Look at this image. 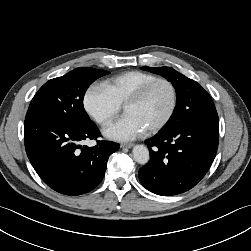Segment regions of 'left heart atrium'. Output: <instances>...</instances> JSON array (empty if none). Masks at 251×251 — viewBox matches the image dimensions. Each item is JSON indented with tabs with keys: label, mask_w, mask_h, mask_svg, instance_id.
<instances>
[{
	"label": "left heart atrium",
	"mask_w": 251,
	"mask_h": 251,
	"mask_svg": "<svg viewBox=\"0 0 251 251\" xmlns=\"http://www.w3.org/2000/svg\"><path fill=\"white\" fill-rule=\"evenodd\" d=\"M144 126L132 115L126 114L104 130L105 137L115 141H129L145 132Z\"/></svg>",
	"instance_id": "39dd6f15"
}]
</instances>
